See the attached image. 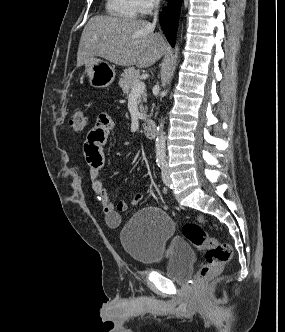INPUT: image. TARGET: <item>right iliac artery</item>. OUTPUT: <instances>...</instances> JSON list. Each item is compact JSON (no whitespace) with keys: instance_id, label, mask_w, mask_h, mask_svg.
I'll return each mask as SVG.
<instances>
[{"instance_id":"right-iliac-artery-1","label":"right iliac artery","mask_w":285,"mask_h":332,"mask_svg":"<svg viewBox=\"0 0 285 332\" xmlns=\"http://www.w3.org/2000/svg\"><path fill=\"white\" fill-rule=\"evenodd\" d=\"M157 165L159 168H162L163 165H164V162L163 161H157Z\"/></svg>"}]
</instances>
